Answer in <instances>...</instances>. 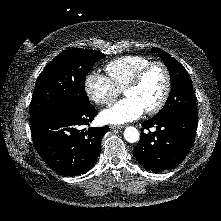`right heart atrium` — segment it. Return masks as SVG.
I'll list each match as a JSON object with an SVG mask.
<instances>
[{
    "label": "right heart atrium",
    "mask_w": 221,
    "mask_h": 221,
    "mask_svg": "<svg viewBox=\"0 0 221 221\" xmlns=\"http://www.w3.org/2000/svg\"><path fill=\"white\" fill-rule=\"evenodd\" d=\"M84 90L88 98L99 106L110 105L120 93V89L107 76L96 71L86 76Z\"/></svg>",
    "instance_id": "1"
}]
</instances>
